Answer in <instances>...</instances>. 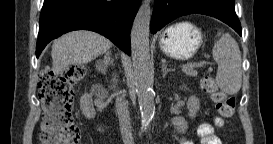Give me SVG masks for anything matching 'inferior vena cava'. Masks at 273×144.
<instances>
[{
  "instance_id": "602c4592",
  "label": "inferior vena cava",
  "mask_w": 273,
  "mask_h": 144,
  "mask_svg": "<svg viewBox=\"0 0 273 144\" xmlns=\"http://www.w3.org/2000/svg\"><path fill=\"white\" fill-rule=\"evenodd\" d=\"M113 81H117L115 78ZM116 111L119 118L120 131L124 144H133L132 130L130 125V115L128 111V102L122 92H115Z\"/></svg>"
}]
</instances>
